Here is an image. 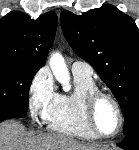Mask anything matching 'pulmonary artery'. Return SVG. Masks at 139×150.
<instances>
[{
	"label": "pulmonary artery",
	"mask_w": 139,
	"mask_h": 150,
	"mask_svg": "<svg viewBox=\"0 0 139 150\" xmlns=\"http://www.w3.org/2000/svg\"><path fill=\"white\" fill-rule=\"evenodd\" d=\"M72 73L74 76H82L85 78H92L93 76V69L92 67L83 61H75L72 64Z\"/></svg>",
	"instance_id": "e3ab8cb5"
}]
</instances>
